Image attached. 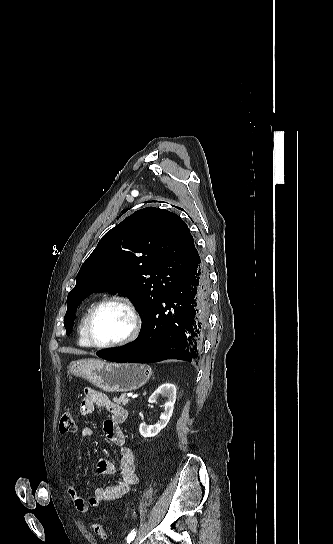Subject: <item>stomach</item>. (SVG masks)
<instances>
[{"label": "stomach", "mask_w": 333, "mask_h": 544, "mask_svg": "<svg viewBox=\"0 0 333 544\" xmlns=\"http://www.w3.org/2000/svg\"><path fill=\"white\" fill-rule=\"evenodd\" d=\"M68 373L85 378L105 392H128L143 386L150 379L152 370L146 364L88 359L72 362Z\"/></svg>", "instance_id": "obj_1"}]
</instances>
